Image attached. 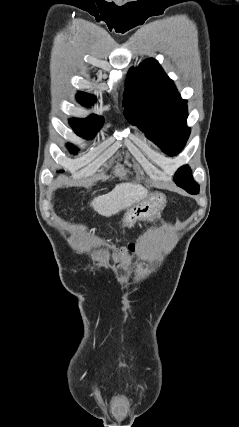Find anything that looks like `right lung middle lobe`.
<instances>
[{
	"label": "right lung middle lobe",
	"instance_id": "dd1d6c3e",
	"mask_svg": "<svg viewBox=\"0 0 239 427\" xmlns=\"http://www.w3.org/2000/svg\"><path fill=\"white\" fill-rule=\"evenodd\" d=\"M104 122L103 117L89 116L85 119L73 118L69 121L75 133L83 138H93ZM70 149L75 152V147L69 145Z\"/></svg>",
	"mask_w": 239,
	"mask_h": 427
}]
</instances>
